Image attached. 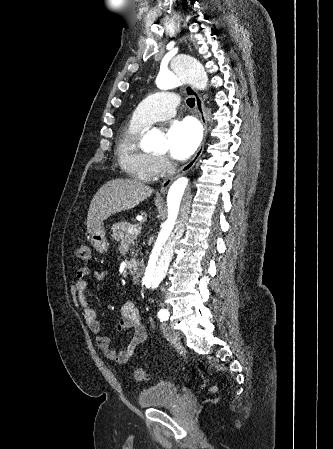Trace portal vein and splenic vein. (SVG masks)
Instances as JSON below:
<instances>
[{
    "label": "portal vein and splenic vein",
    "mask_w": 333,
    "mask_h": 449,
    "mask_svg": "<svg viewBox=\"0 0 333 449\" xmlns=\"http://www.w3.org/2000/svg\"><path fill=\"white\" fill-rule=\"evenodd\" d=\"M137 227L138 225L132 226L131 228H129V232L131 234H137L139 232Z\"/></svg>",
    "instance_id": "18ae733b"
}]
</instances>
